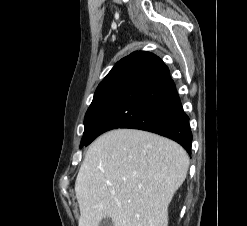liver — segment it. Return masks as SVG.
Here are the masks:
<instances>
[{
	"label": "liver",
	"instance_id": "liver-1",
	"mask_svg": "<svg viewBox=\"0 0 247 226\" xmlns=\"http://www.w3.org/2000/svg\"><path fill=\"white\" fill-rule=\"evenodd\" d=\"M189 156L159 135L117 129L88 148L75 182L78 226H168V206L184 182Z\"/></svg>",
	"mask_w": 247,
	"mask_h": 226
}]
</instances>
